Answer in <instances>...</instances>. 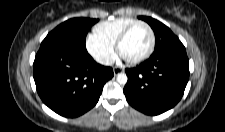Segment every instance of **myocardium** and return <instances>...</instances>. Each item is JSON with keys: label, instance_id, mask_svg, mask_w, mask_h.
Listing matches in <instances>:
<instances>
[{"label": "myocardium", "instance_id": "f54148a6", "mask_svg": "<svg viewBox=\"0 0 225 132\" xmlns=\"http://www.w3.org/2000/svg\"><path fill=\"white\" fill-rule=\"evenodd\" d=\"M140 25L146 27L147 30L149 31L150 44H149L147 51L140 57L135 58V59H125V61L131 65L142 63L143 61L148 59L150 57V55L153 53L154 47H155V33H154V30L152 29V27L144 21H136V22L132 23L131 25H129L126 29H124V31L119 35V37L116 41V44H115L116 51L121 56L120 50H121L122 44L124 43L126 38L129 36L131 31L135 27L140 26Z\"/></svg>", "mask_w": 225, "mask_h": 132}]
</instances>
